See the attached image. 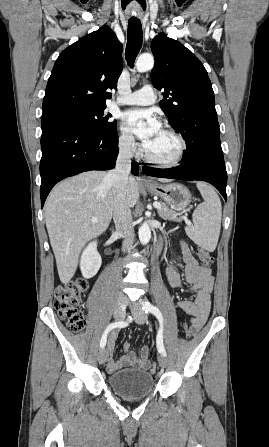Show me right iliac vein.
<instances>
[{"mask_svg":"<svg viewBox=\"0 0 269 447\" xmlns=\"http://www.w3.org/2000/svg\"><path fill=\"white\" fill-rule=\"evenodd\" d=\"M126 313V300L123 297L117 298V304L114 309V317L116 320H123ZM108 358V349L102 348L98 354V361L100 364H104Z\"/></svg>","mask_w":269,"mask_h":447,"instance_id":"1","label":"right iliac vein"}]
</instances>
